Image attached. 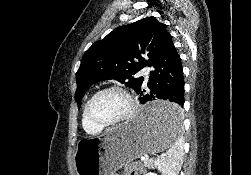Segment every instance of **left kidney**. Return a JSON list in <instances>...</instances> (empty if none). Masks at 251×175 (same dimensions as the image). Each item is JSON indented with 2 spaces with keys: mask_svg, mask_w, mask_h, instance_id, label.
Masks as SVG:
<instances>
[{
  "mask_svg": "<svg viewBox=\"0 0 251 175\" xmlns=\"http://www.w3.org/2000/svg\"><path fill=\"white\" fill-rule=\"evenodd\" d=\"M146 175H157V173H152V171H149V173H146Z\"/></svg>",
  "mask_w": 251,
  "mask_h": 175,
  "instance_id": "1",
  "label": "left kidney"
}]
</instances>
